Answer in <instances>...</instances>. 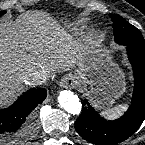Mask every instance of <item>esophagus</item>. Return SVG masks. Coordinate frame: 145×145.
Segmentation results:
<instances>
[{
  "instance_id": "esophagus-1",
  "label": "esophagus",
  "mask_w": 145,
  "mask_h": 145,
  "mask_svg": "<svg viewBox=\"0 0 145 145\" xmlns=\"http://www.w3.org/2000/svg\"><path fill=\"white\" fill-rule=\"evenodd\" d=\"M75 85H76V80L72 75H66L60 81V86L62 88L71 89Z\"/></svg>"
}]
</instances>
